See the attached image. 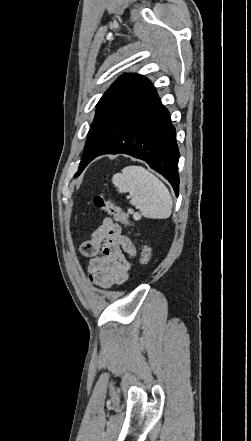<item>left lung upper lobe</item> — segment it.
Listing matches in <instances>:
<instances>
[{"label":"left lung upper lobe","mask_w":251,"mask_h":441,"mask_svg":"<svg viewBox=\"0 0 251 441\" xmlns=\"http://www.w3.org/2000/svg\"><path fill=\"white\" fill-rule=\"evenodd\" d=\"M153 89L151 82L142 75L126 74L116 80L97 104L94 122L102 116L125 115L142 96ZM82 160L75 177L82 171Z\"/></svg>","instance_id":"5c2ea615"}]
</instances>
